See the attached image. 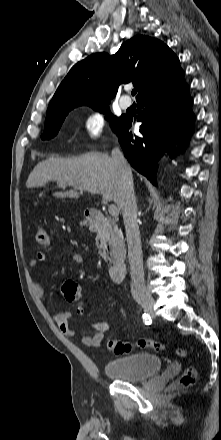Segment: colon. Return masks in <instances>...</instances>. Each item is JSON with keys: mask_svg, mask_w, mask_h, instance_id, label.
<instances>
[{"mask_svg": "<svg viewBox=\"0 0 221 440\" xmlns=\"http://www.w3.org/2000/svg\"><path fill=\"white\" fill-rule=\"evenodd\" d=\"M35 242L39 247L48 248L51 245L50 236L45 227L40 226L35 231ZM61 292L63 298L68 302H77L79 306L82 305V297L78 285L73 281H65L62 284ZM135 345L142 349H152L154 351H161L164 349V345L156 340L152 339H139ZM133 344L113 338H109L107 341V347L115 354H126L133 349ZM177 354L181 357L187 356V351L183 348L177 349ZM197 378V372L195 368L188 367L180 378L177 380L175 387L189 388L192 387Z\"/></svg>", "mask_w": 221, "mask_h": 440, "instance_id": "1", "label": "colon"}]
</instances>
